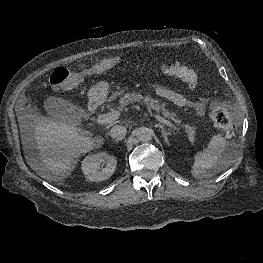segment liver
<instances>
[{
    "label": "liver",
    "instance_id": "obj_1",
    "mask_svg": "<svg viewBox=\"0 0 263 263\" xmlns=\"http://www.w3.org/2000/svg\"><path fill=\"white\" fill-rule=\"evenodd\" d=\"M17 118L24 148L28 149L32 137L39 152L37 160L27 156L29 165L42 178L50 181L67 177L81 155L103 143L102 139L93 138L91 132L75 124L57 123L39 115H25L19 110Z\"/></svg>",
    "mask_w": 263,
    "mask_h": 263
}]
</instances>
